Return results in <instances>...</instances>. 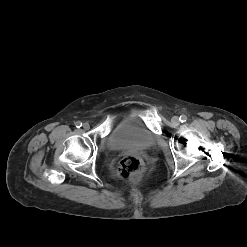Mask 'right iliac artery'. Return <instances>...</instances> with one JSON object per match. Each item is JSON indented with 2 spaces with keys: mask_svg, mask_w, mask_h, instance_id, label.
Returning <instances> with one entry per match:
<instances>
[{
  "mask_svg": "<svg viewBox=\"0 0 247 247\" xmlns=\"http://www.w3.org/2000/svg\"><path fill=\"white\" fill-rule=\"evenodd\" d=\"M75 126L77 128H80L82 126V123L80 121L75 122Z\"/></svg>",
  "mask_w": 247,
  "mask_h": 247,
  "instance_id": "1",
  "label": "right iliac artery"
}]
</instances>
